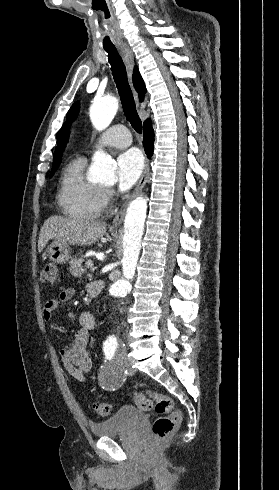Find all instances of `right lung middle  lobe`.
I'll return each mask as SVG.
<instances>
[{
	"label": "right lung middle lobe",
	"instance_id": "dd1d6c3e",
	"mask_svg": "<svg viewBox=\"0 0 279 490\" xmlns=\"http://www.w3.org/2000/svg\"><path fill=\"white\" fill-rule=\"evenodd\" d=\"M56 169H57V168H55V169L51 170L50 177H52V175L54 174V172H55V170H56Z\"/></svg>",
	"mask_w": 279,
	"mask_h": 490
}]
</instances>
